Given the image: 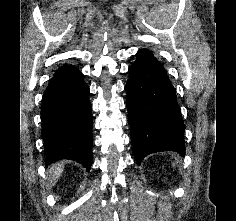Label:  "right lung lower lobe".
<instances>
[{
  "mask_svg": "<svg viewBox=\"0 0 236 221\" xmlns=\"http://www.w3.org/2000/svg\"><path fill=\"white\" fill-rule=\"evenodd\" d=\"M89 88L82 74L69 65L60 67L42 99V138L47 164L70 159L87 168L92 164V120Z\"/></svg>",
  "mask_w": 236,
  "mask_h": 221,
  "instance_id": "obj_1",
  "label": "right lung lower lobe"
}]
</instances>
